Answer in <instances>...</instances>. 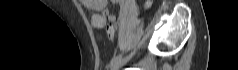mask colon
Returning a JSON list of instances; mask_svg holds the SVG:
<instances>
[{
	"mask_svg": "<svg viewBox=\"0 0 238 70\" xmlns=\"http://www.w3.org/2000/svg\"><path fill=\"white\" fill-rule=\"evenodd\" d=\"M117 19H110V24L107 26V36L109 39H113L115 37V33L117 30Z\"/></svg>",
	"mask_w": 238,
	"mask_h": 70,
	"instance_id": "colon-1",
	"label": "colon"
}]
</instances>
